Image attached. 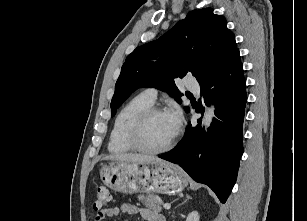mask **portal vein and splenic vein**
Instances as JSON below:
<instances>
[{"label":"portal vein and splenic vein","mask_w":307,"mask_h":221,"mask_svg":"<svg viewBox=\"0 0 307 221\" xmlns=\"http://www.w3.org/2000/svg\"><path fill=\"white\" fill-rule=\"evenodd\" d=\"M163 208L169 210L171 208V205L169 203H165L163 204Z\"/></svg>","instance_id":"obj_1"}]
</instances>
